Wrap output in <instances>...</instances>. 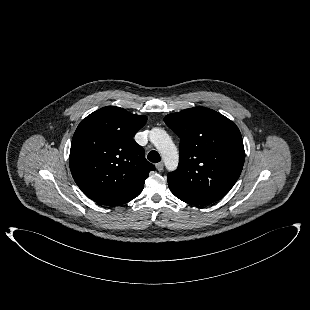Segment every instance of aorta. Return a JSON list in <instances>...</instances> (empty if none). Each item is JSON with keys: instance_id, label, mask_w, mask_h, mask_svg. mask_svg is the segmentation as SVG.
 <instances>
[{"instance_id": "obj_1", "label": "aorta", "mask_w": 310, "mask_h": 310, "mask_svg": "<svg viewBox=\"0 0 310 310\" xmlns=\"http://www.w3.org/2000/svg\"><path fill=\"white\" fill-rule=\"evenodd\" d=\"M151 143L161 154L166 168L173 171L178 166V150L171 140L170 136L162 128H153L149 133Z\"/></svg>"}]
</instances>
